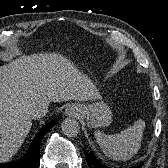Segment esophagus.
I'll use <instances>...</instances> for the list:
<instances>
[{
    "mask_svg": "<svg viewBox=\"0 0 168 168\" xmlns=\"http://www.w3.org/2000/svg\"><path fill=\"white\" fill-rule=\"evenodd\" d=\"M66 115L71 117H77L80 114V108L76 105H70L65 110Z\"/></svg>",
    "mask_w": 168,
    "mask_h": 168,
    "instance_id": "34e87169",
    "label": "esophagus"
}]
</instances>
